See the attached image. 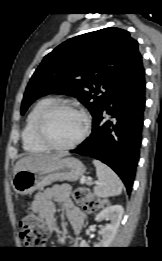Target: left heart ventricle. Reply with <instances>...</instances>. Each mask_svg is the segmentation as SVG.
Returning <instances> with one entry per match:
<instances>
[{"mask_svg": "<svg viewBox=\"0 0 162 261\" xmlns=\"http://www.w3.org/2000/svg\"><path fill=\"white\" fill-rule=\"evenodd\" d=\"M82 130V116L69 109L54 112L46 125L48 138L58 145L71 143L81 134Z\"/></svg>", "mask_w": 162, "mask_h": 261, "instance_id": "1", "label": "left heart ventricle"}]
</instances>
